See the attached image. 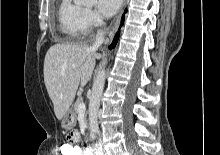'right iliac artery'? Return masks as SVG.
I'll return each mask as SVG.
<instances>
[{
  "mask_svg": "<svg viewBox=\"0 0 220 155\" xmlns=\"http://www.w3.org/2000/svg\"><path fill=\"white\" fill-rule=\"evenodd\" d=\"M96 155H102L100 152L98 153V152H96Z\"/></svg>",
  "mask_w": 220,
  "mask_h": 155,
  "instance_id": "1",
  "label": "right iliac artery"
}]
</instances>
